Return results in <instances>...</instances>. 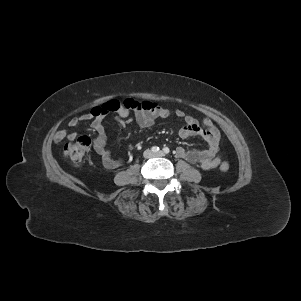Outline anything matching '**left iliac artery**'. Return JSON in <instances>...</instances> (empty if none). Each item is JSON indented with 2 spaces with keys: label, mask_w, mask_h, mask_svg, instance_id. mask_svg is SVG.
I'll list each match as a JSON object with an SVG mask.
<instances>
[{
  "label": "left iliac artery",
  "mask_w": 301,
  "mask_h": 301,
  "mask_svg": "<svg viewBox=\"0 0 301 301\" xmlns=\"http://www.w3.org/2000/svg\"><path fill=\"white\" fill-rule=\"evenodd\" d=\"M163 152H164L165 154H168V153L170 152V149H169L168 147H164V148H163Z\"/></svg>",
  "instance_id": "44dca946"
}]
</instances>
